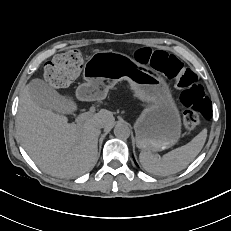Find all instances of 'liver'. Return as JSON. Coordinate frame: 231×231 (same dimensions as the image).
<instances>
[{
  "label": "liver",
  "instance_id": "obj_1",
  "mask_svg": "<svg viewBox=\"0 0 231 231\" xmlns=\"http://www.w3.org/2000/svg\"><path fill=\"white\" fill-rule=\"evenodd\" d=\"M114 122L113 113L101 109L83 122L68 123L66 116L38 106L30 97L29 85L20 96L17 127L22 145L44 172L55 177H76L92 168L98 154L99 125L111 129Z\"/></svg>",
  "mask_w": 231,
  "mask_h": 231
}]
</instances>
